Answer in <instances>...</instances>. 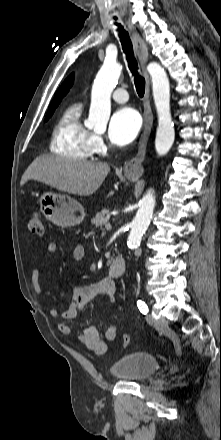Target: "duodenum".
Listing matches in <instances>:
<instances>
[{
	"label": "duodenum",
	"instance_id": "duodenum-1",
	"mask_svg": "<svg viewBox=\"0 0 221 440\" xmlns=\"http://www.w3.org/2000/svg\"><path fill=\"white\" fill-rule=\"evenodd\" d=\"M126 262L122 256H116L110 263L109 273L112 277H119L125 273Z\"/></svg>",
	"mask_w": 221,
	"mask_h": 440
}]
</instances>
